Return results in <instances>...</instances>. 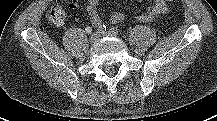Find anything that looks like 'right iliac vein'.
<instances>
[{"label": "right iliac vein", "mask_w": 217, "mask_h": 121, "mask_svg": "<svg viewBox=\"0 0 217 121\" xmlns=\"http://www.w3.org/2000/svg\"><path fill=\"white\" fill-rule=\"evenodd\" d=\"M99 37H100V34L98 32L92 34L91 37H90V42L95 43L98 40Z\"/></svg>", "instance_id": "obj_1"}]
</instances>
